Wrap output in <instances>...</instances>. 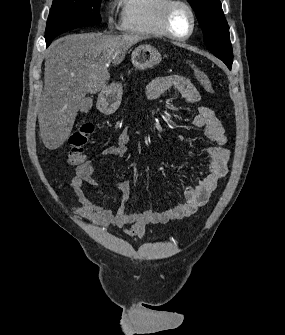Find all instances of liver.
Here are the masks:
<instances>
[{"mask_svg": "<svg viewBox=\"0 0 285 335\" xmlns=\"http://www.w3.org/2000/svg\"><path fill=\"white\" fill-rule=\"evenodd\" d=\"M146 40L140 34L103 36L100 32L71 34L48 48L44 94L38 116L41 140L48 150H57L71 134L86 94L105 90L112 64L123 62L127 50Z\"/></svg>", "mask_w": 285, "mask_h": 335, "instance_id": "6515ba94", "label": "liver"}]
</instances>
